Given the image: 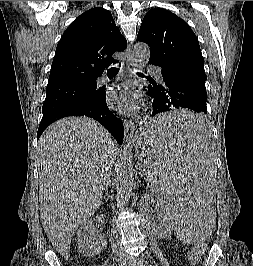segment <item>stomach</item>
<instances>
[{
    "instance_id": "1",
    "label": "stomach",
    "mask_w": 253,
    "mask_h": 266,
    "mask_svg": "<svg viewBox=\"0 0 253 266\" xmlns=\"http://www.w3.org/2000/svg\"><path fill=\"white\" fill-rule=\"evenodd\" d=\"M153 138H157V136H154V132H148V126H146L138 140V145L141 147L145 156L146 150H149V145H152Z\"/></svg>"
}]
</instances>
